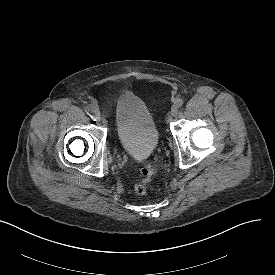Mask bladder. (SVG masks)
<instances>
[{"label":"bladder","mask_w":275,"mask_h":275,"mask_svg":"<svg viewBox=\"0 0 275 275\" xmlns=\"http://www.w3.org/2000/svg\"><path fill=\"white\" fill-rule=\"evenodd\" d=\"M115 133L118 142L131 157L150 156L159 143V132L152 113L133 92H123L115 104Z\"/></svg>","instance_id":"obj_1"}]
</instances>
